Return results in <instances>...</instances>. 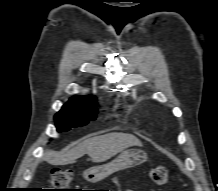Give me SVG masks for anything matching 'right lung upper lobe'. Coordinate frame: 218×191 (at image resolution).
<instances>
[{
    "label": "right lung upper lobe",
    "instance_id": "obj_1",
    "mask_svg": "<svg viewBox=\"0 0 218 191\" xmlns=\"http://www.w3.org/2000/svg\"><path fill=\"white\" fill-rule=\"evenodd\" d=\"M74 98L94 100V98L92 96H88V97H84V98H81L79 96H75Z\"/></svg>",
    "mask_w": 218,
    "mask_h": 191
}]
</instances>
